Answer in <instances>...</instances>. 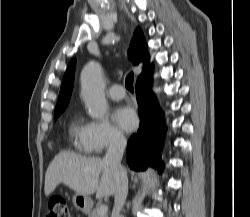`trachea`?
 <instances>
[{"mask_svg":"<svg viewBox=\"0 0 250 217\" xmlns=\"http://www.w3.org/2000/svg\"><path fill=\"white\" fill-rule=\"evenodd\" d=\"M133 78H134V75L133 73H129L126 77V80H125V86L126 88L129 90V91H134V88H133Z\"/></svg>","mask_w":250,"mask_h":217,"instance_id":"obj_1","label":"trachea"}]
</instances>
